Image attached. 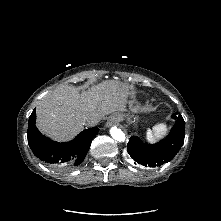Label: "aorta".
Segmentation results:
<instances>
[{
    "instance_id": "obj_1",
    "label": "aorta",
    "mask_w": 221,
    "mask_h": 221,
    "mask_svg": "<svg viewBox=\"0 0 221 221\" xmlns=\"http://www.w3.org/2000/svg\"><path fill=\"white\" fill-rule=\"evenodd\" d=\"M110 134H111L112 138L114 140L118 141V142L125 141V134H124V132L121 129L117 128V127H112L110 129Z\"/></svg>"
}]
</instances>
